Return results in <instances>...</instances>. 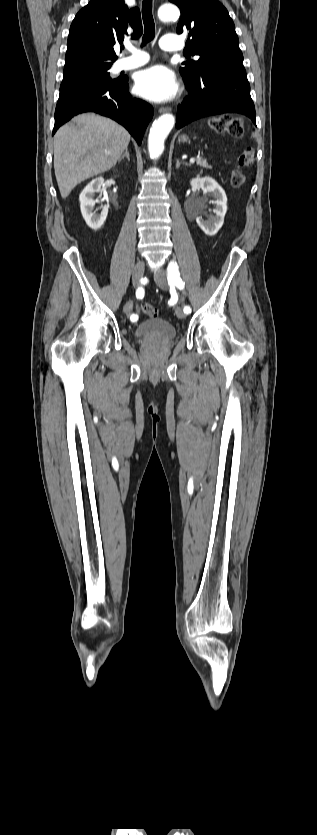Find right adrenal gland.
I'll use <instances>...</instances> for the list:
<instances>
[{
    "instance_id": "2a0ac1e0",
    "label": "right adrenal gland",
    "mask_w": 317,
    "mask_h": 835,
    "mask_svg": "<svg viewBox=\"0 0 317 835\" xmlns=\"http://www.w3.org/2000/svg\"><path fill=\"white\" fill-rule=\"evenodd\" d=\"M125 157L128 160H130V155H129V152H128V148H126L125 153L122 154V156L119 158L118 162L120 163Z\"/></svg>"
}]
</instances>
